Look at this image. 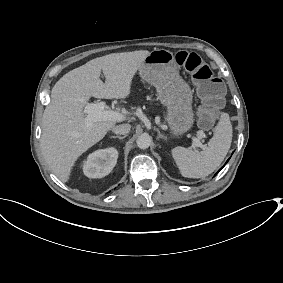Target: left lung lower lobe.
<instances>
[{"mask_svg": "<svg viewBox=\"0 0 283 283\" xmlns=\"http://www.w3.org/2000/svg\"><path fill=\"white\" fill-rule=\"evenodd\" d=\"M227 162H228V160H227ZM222 168H223V167H222ZM222 168H220L218 172H220V171L222 170ZM218 172H217V173H218ZM217 173H216L215 175H217Z\"/></svg>", "mask_w": 283, "mask_h": 283, "instance_id": "0a47b994", "label": "left lung lower lobe"}]
</instances>
